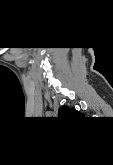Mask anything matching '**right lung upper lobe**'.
Masks as SVG:
<instances>
[{"instance_id": "right-lung-upper-lobe-1", "label": "right lung upper lobe", "mask_w": 113, "mask_h": 165, "mask_svg": "<svg viewBox=\"0 0 113 165\" xmlns=\"http://www.w3.org/2000/svg\"><path fill=\"white\" fill-rule=\"evenodd\" d=\"M81 115L75 108H70L68 106H63L58 111V116H78Z\"/></svg>"}]
</instances>
